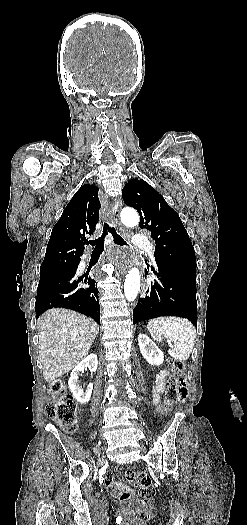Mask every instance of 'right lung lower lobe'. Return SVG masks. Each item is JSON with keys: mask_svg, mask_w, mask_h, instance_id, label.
Segmentation results:
<instances>
[{"mask_svg": "<svg viewBox=\"0 0 247 525\" xmlns=\"http://www.w3.org/2000/svg\"><path fill=\"white\" fill-rule=\"evenodd\" d=\"M82 254L75 258L76 264L73 268L40 279L35 303L36 317L48 309L62 307L86 314L100 323L98 290L94 280L76 276ZM83 283L90 286L81 288Z\"/></svg>", "mask_w": 247, "mask_h": 525, "instance_id": "right-lung-lower-lobe-1", "label": "right lung lower lobe"}]
</instances>
